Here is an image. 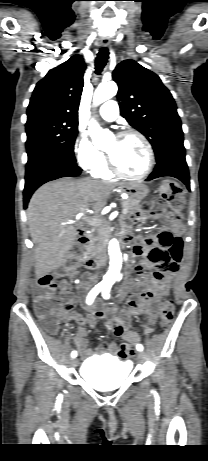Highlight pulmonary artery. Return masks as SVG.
Wrapping results in <instances>:
<instances>
[{
    "mask_svg": "<svg viewBox=\"0 0 208 461\" xmlns=\"http://www.w3.org/2000/svg\"><path fill=\"white\" fill-rule=\"evenodd\" d=\"M99 115L107 120V121H114L118 114L119 108L118 104L114 100L106 101L98 110Z\"/></svg>",
    "mask_w": 208,
    "mask_h": 461,
    "instance_id": "e3ab8cb5",
    "label": "pulmonary artery"
}]
</instances>
